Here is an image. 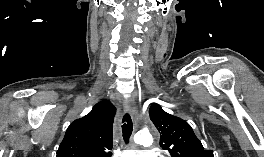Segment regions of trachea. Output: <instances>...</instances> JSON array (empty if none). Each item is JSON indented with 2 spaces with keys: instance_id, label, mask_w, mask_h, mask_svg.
Masks as SVG:
<instances>
[{
  "instance_id": "3493384b",
  "label": "trachea",
  "mask_w": 264,
  "mask_h": 157,
  "mask_svg": "<svg viewBox=\"0 0 264 157\" xmlns=\"http://www.w3.org/2000/svg\"><path fill=\"white\" fill-rule=\"evenodd\" d=\"M133 131V123L132 119L129 114L124 115L122 120V133H123V139L126 144L129 143V139L131 137Z\"/></svg>"
}]
</instances>
